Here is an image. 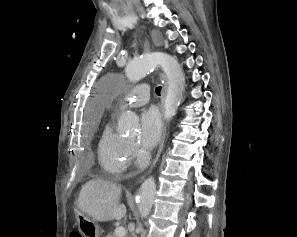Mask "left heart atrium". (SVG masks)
<instances>
[{
    "instance_id": "obj_1",
    "label": "left heart atrium",
    "mask_w": 297,
    "mask_h": 237,
    "mask_svg": "<svg viewBox=\"0 0 297 237\" xmlns=\"http://www.w3.org/2000/svg\"><path fill=\"white\" fill-rule=\"evenodd\" d=\"M162 118L156 107H149L140 116L139 144L152 148L158 144L162 134Z\"/></svg>"
}]
</instances>
